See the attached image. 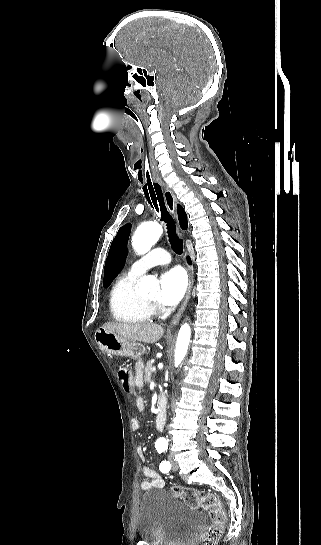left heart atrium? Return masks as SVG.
Listing matches in <instances>:
<instances>
[{
  "label": "left heart atrium",
  "instance_id": "39dd6f15",
  "mask_svg": "<svg viewBox=\"0 0 321 545\" xmlns=\"http://www.w3.org/2000/svg\"><path fill=\"white\" fill-rule=\"evenodd\" d=\"M159 306L164 310H171L183 297L187 280L179 268H172L161 274Z\"/></svg>",
  "mask_w": 321,
  "mask_h": 545
}]
</instances>
